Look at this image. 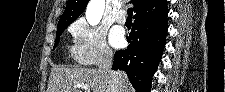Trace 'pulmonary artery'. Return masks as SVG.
<instances>
[{
  "label": "pulmonary artery",
  "instance_id": "pulmonary-artery-1",
  "mask_svg": "<svg viewBox=\"0 0 225 92\" xmlns=\"http://www.w3.org/2000/svg\"><path fill=\"white\" fill-rule=\"evenodd\" d=\"M126 12L124 10L118 12L117 16H116V21L120 24H125L126 22Z\"/></svg>",
  "mask_w": 225,
  "mask_h": 92
}]
</instances>
